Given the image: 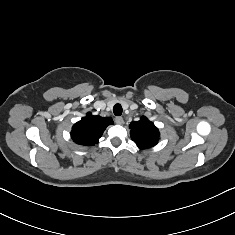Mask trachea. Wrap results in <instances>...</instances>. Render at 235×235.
I'll return each instance as SVG.
<instances>
[{
    "label": "trachea",
    "instance_id": "1",
    "mask_svg": "<svg viewBox=\"0 0 235 235\" xmlns=\"http://www.w3.org/2000/svg\"><path fill=\"white\" fill-rule=\"evenodd\" d=\"M122 106L120 104H115L114 107H113V113L116 115V116H120L122 114Z\"/></svg>",
    "mask_w": 235,
    "mask_h": 235
}]
</instances>
